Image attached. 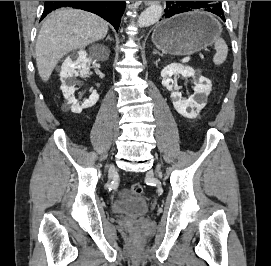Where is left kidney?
I'll return each instance as SVG.
<instances>
[{"instance_id":"5707ae66","label":"left kidney","mask_w":271,"mask_h":266,"mask_svg":"<svg viewBox=\"0 0 271 266\" xmlns=\"http://www.w3.org/2000/svg\"><path fill=\"white\" fill-rule=\"evenodd\" d=\"M178 74L195 78V71L192 68L174 63L161 71L162 85L171 91L170 97L175 110L186 118L194 119L206 105V100L200 102V97L203 96L206 99L211 90V83L208 79L200 77L194 82V94L189 99H183L180 92L173 91L174 80L171 77Z\"/></svg>"}]
</instances>
